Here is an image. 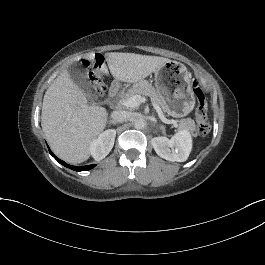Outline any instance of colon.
<instances>
[{
  "label": "colon",
  "instance_id": "1",
  "mask_svg": "<svg viewBox=\"0 0 265 265\" xmlns=\"http://www.w3.org/2000/svg\"><path fill=\"white\" fill-rule=\"evenodd\" d=\"M86 65H90V62L85 60ZM104 64V57L101 54H97L94 58V65L97 69H100ZM95 80V90L99 96H102L105 93L106 85L101 79L100 75H96ZM193 91L197 100L196 108V119H197V128L198 132L201 135H207L211 130V124L208 117V106L207 100L204 94V91L200 84L194 80L192 82Z\"/></svg>",
  "mask_w": 265,
  "mask_h": 265
}]
</instances>
